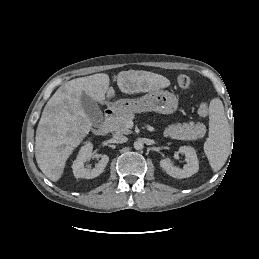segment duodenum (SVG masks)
<instances>
[{
    "mask_svg": "<svg viewBox=\"0 0 259 259\" xmlns=\"http://www.w3.org/2000/svg\"><path fill=\"white\" fill-rule=\"evenodd\" d=\"M116 111L113 108H108L104 114V121L100 125L93 128V132L97 135L103 136L107 134L109 129V122L114 117Z\"/></svg>",
    "mask_w": 259,
    "mask_h": 259,
    "instance_id": "1",
    "label": "duodenum"
}]
</instances>
